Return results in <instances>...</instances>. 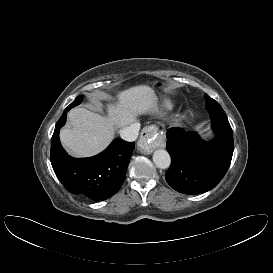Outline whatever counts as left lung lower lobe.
I'll return each mask as SVG.
<instances>
[{
	"label": "left lung lower lobe",
	"instance_id": "left-lung-lower-lobe-1",
	"mask_svg": "<svg viewBox=\"0 0 273 273\" xmlns=\"http://www.w3.org/2000/svg\"><path fill=\"white\" fill-rule=\"evenodd\" d=\"M216 138L204 142L181 128L167 130L166 149L171 166L167 183L184 194H201L214 188L226 174L233 155V132L226 115H210Z\"/></svg>",
	"mask_w": 273,
	"mask_h": 273
}]
</instances>
